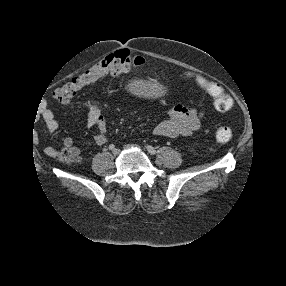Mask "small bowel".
<instances>
[{
  "mask_svg": "<svg viewBox=\"0 0 286 286\" xmlns=\"http://www.w3.org/2000/svg\"><path fill=\"white\" fill-rule=\"evenodd\" d=\"M42 117L46 123L47 133L52 134L59 126V121L50 109H46ZM204 111L197 107H185L177 105L168 111L166 120L157 124L153 130L154 134L160 137L174 138L178 136H192L201 128ZM87 125L94 127L97 133L94 136L96 145H104L107 141V121L101 110L96 106H91L87 114ZM64 146L70 152L71 162H80L81 154L78 147L74 145L72 138L64 140ZM46 153L54 154V150L48 148Z\"/></svg>",
  "mask_w": 286,
  "mask_h": 286,
  "instance_id": "c3829d8e",
  "label": "small bowel"
}]
</instances>
